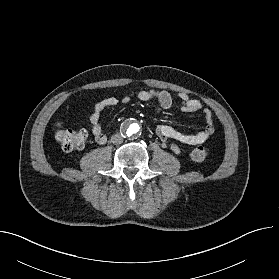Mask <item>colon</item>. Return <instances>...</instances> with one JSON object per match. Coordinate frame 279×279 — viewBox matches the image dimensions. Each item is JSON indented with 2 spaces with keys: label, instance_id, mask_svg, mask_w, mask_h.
Segmentation results:
<instances>
[{
  "label": "colon",
  "instance_id": "5ec220e1",
  "mask_svg": "<svg viewBox=\"0 0 279 279\" xmlns=\"http://www.w3.org/2000/svg\"><path fill=\"white\" fill-rule=\"evenodd\" d=\"M55 139L65 151L82 149L88 139L86 130H71L59 124L55 131ZM208 149L205 146H198L191 152V158L194 161L201 162L206 159Z\"/></svg>",
  "mask_w": 279,
  "mask_h": 279
}]
</instances>
